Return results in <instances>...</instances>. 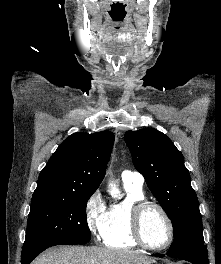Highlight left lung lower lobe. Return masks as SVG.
Instances as JSON below:
<instances>
[{
  "instance_id": "1",
  "label": "left lung lower lobe",
  "mask_w": 221,
  "mask_h": 264,
  "mask_svg": "<svg viewBox=\"0 0 221 264\" xmlns=\"http://www.w3.org/2000/svg\"><path fill=\"white\" fill-rule=\"evenodd\" d=\"M167 255L193 264H208V253L205 245H186L173 248L167 252ZM155 256L164 257V255L160 254H155Z\"/></svg>"
}]
</instances>
